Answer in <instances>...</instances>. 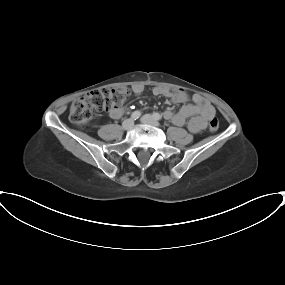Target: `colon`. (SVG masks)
Wrapping results in <instances>:
<instances>
[{
	"label": "colon",
	"instance_id": "5ec220e1",
	"mask_svg": "<svg viewBox=\"0 0 285 285\" xmlns=\"http://www.w3.org/2000/svg\"><path fill=\"white\" fill-rule=\"evenodd\" d=\"M127 95V91L121 88H103L87 93L72 103L69 109V120L74 125L83 127L95 114L122 105ZM209 129L211 131L219 129V120L216 117L209 120Z\"/></svg>",
	"mask_w": 285,
	"mask_h": 285
}]
</instances>
